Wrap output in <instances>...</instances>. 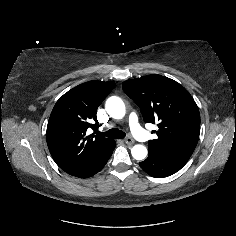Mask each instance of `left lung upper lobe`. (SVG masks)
Listing matches in <instances>:
<instances>
[{"label": "left lung upper lobe", "mask_w": 236, "mask_h": 236, "mask_svg": "<svg viewBox=\"0 0 236 236\" xmlns=\"http://www.w3.org/2000/svg\"><path fill=\"white\" fill-rule=\"evenodd\" d=\"M122 88L139 106L144 121L158 124V138L148 142L149 153L192 155L200 134V114L194 99L182 85L152 74L127 80Z\"/></svg>", "instance_id": "5c2ea615"}]
</instances>
